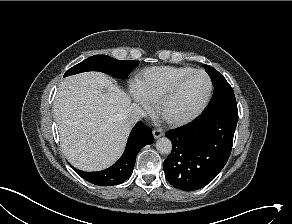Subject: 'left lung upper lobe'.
Masks as SVG:
<instances>
[{"label": "left lung upper lobe", "instance_id": "left-lung-upper-lobe-1", "mask_svg": "<svg viewBox=\"0 0 292 224\" xmlns=\"http://www.w3.org/2000/svg\"><path fill=\"white\" fill-rule=\"evenodd\" d=\"M205 71L209 74L214 85L212 99L203 113H207L216 108L236 103L232 87L222 74L209 65H204Z\"/></svg>", "mask_w": 292, "mask_h": 224}]
</instances>
